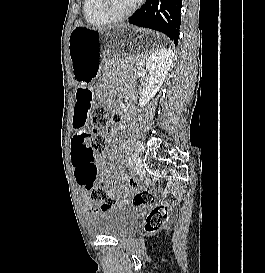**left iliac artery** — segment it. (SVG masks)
I'll list each match as a JSON object with an SVG mask.
<instances>
[{
	"label": "left iliac artery",
	"instance_id": "left-iliac-artery-1",
	"mask_svg": "<svg viewBox=\"0 0 265 273\" xmlns=\"http://www.w3.org/2000/svg\"><path fill=\"white\" fill-rule=\"evenodd\" d=\"M140 151H141V148L138 146V143H137V145H136V152L138 153Z\"/></svg>",
	"mask_w": 265,
	"mask_h": 273
}]
</instances>
